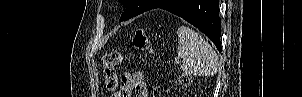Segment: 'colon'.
Here are the masks:
<instances>
[{
    "label": "colon",
    "mask_w": 302,
    "mask_h": 97,
    "mask_svg": "<svg viewBox=\"0 0 302 97\" xmlns=\"http://www.w3.org/2000/svg\"><path fill=\"white\" fill-rule=\"evenodd\" d=\"M134 46L144 52L151 53L152 46L148 39L146 32L138 28L136 29L133 37ZM123 56L120 52L111 51L107 52L102 57V69L105 81V87L107 91L114 92L118 85V77L116 72V67L122 62ZM180 82L183 85L190 84V77L187 75H182Z\"/></svg>",
    "instance_id": "1"
}]
</instances>
